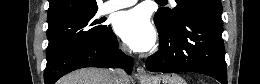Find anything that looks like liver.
<instances>
[{
	"label": "liver",
	"mask_w": 260,
	"mask_h": 84,
	"mask_svg": "<svg viewBox=\"0 0 260 84\" xmlns=\"http://www.w3.org/2000/svg\"><path fill=\"white\" fill-rule=\"evenodd\" d=\"M113 78L112 70L83 68L66 75L58 84H114Z\"/></svg>",
	"instance_id": "1"
}]
</instances>
